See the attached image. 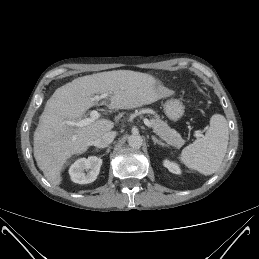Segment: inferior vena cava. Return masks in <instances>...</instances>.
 Returning a JSON list of instances; mask_svg holds the SVG:
<instances>
[{
    "instance_id": "inferior-vena-cava-1",
    "label": "inferior vena cava",
    "mask_w": 259,
    "mask_h": 259,
    "mask_svg": "<svg viewBox=\"0 0 259 259\" xmlns=\"http://www.w3.org/2000/svg\"><path fill=\"white\" fill-rule=\"evenodd\" d=\"M116 136V133L114 131H109L104 133L102 136L99 138L95 139L92 142V145H94L97 148H105L108 147L112 141L114 140Z\"/></svg>"
}]
</instances>
